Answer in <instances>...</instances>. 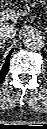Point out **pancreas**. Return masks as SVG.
Returning <instances> with one entry per match:
<instances>
[{"label":"pancreas","instance_id":"pancreas-1","mask_svg":"<svg viewBox=\"0 0 47 129\" xmlns=\"http://www.w3.org/2000/svg\"><path fill=\"white\" fill-rule=\"evenodd\" d=\"M38 2H40V3H44L45 2V0H37Z\"/></svg>","mask_w":47,"mask_h":129}]
</instances>
